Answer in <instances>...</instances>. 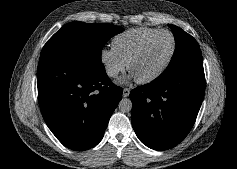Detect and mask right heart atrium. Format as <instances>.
<instances>
[{
	"label": "right heart atrium",
	"mask_w": 237,
	"mask_h": 169,
	"mask_svg": "<svg viewBox=\"0 0 237 169\" xmlns=\"http://www.w3.org/2000/svg\"><path fill=\"white\" fill-rule=\"evenodd\" d=\"M101 62L108 76L116 78L126 67L125 61L113 48H104L100 53Z\"/></svg>",
	"instance_id": "right-heart-atrium-1"
}]
</instances>
